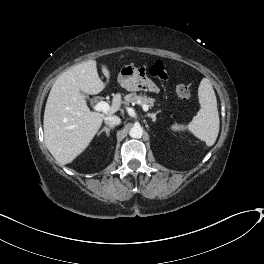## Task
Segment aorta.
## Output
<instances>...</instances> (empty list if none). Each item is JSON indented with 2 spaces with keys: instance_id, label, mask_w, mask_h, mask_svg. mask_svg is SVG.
<instances>
[{
  "instance_id": "1",
  "label": "aorta",
  "mask_w": 264,
  "mask_h": 264,
  "mask_svg": "<svg viewBox=\"0 0 264 264\" xmlns=\"http://www.w3.org/2000/svg\"><path fill=\"white\" fill-rule=\"evenodd\" d=\"M129 135L132 138H141L143 135V128L140 125H135L130 129Z\"/></svg>"
}]
</instances>
